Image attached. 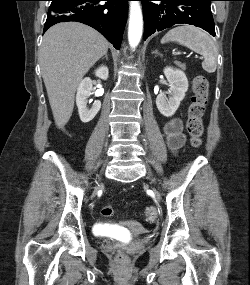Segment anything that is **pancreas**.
<instances>
[{
    "mask_svg": "<svg viewBox=\"0 0 250 285\" xmlns=\"http://www.w3.org/2000/svg\"><path fill=\"white\" fill-rule=\"evenodd\" d=\"M175 64L182 69L186 68L185 64H182L181 62L175 61Z\"/></svg>",
    "mask_w": 250,
    "mask_h": 285,
    "instance_id": "1",
    "label": "pancreas"
}]
</instances>
